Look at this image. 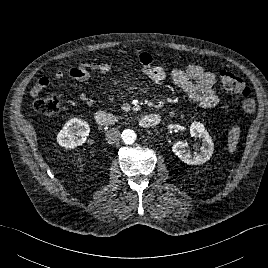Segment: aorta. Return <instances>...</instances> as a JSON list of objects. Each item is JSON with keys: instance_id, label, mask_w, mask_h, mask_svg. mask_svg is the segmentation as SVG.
<instances>
[{"instance_id": "aorta-1", "label": "aorta", "mask_w": 268, "mask_h": 268, "mask_svg": "<svg viewBox=\"0 0 268 268\" xmlns=\"http://www.w3.org/2000/svg\"><path fill=\"white\" fill-rule=\"evenodd\" d=\"M136 133L133 130L126 129L122 133V139L126 144H132L136 140Z\"/></svg>"}]
</instances>
